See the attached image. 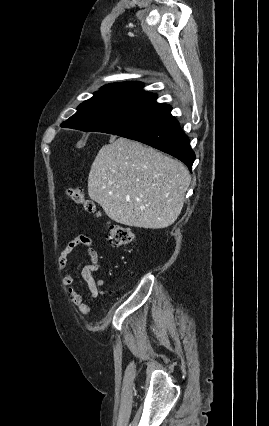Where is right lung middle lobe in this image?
I'll list each match as a JSON object with an SVG mask.
<instances>
[{
	"label": "right lung middle lobe",
	"instance_id": "1",
	"mask_svg": "<svg viewBox=\"0 0 269 426\" xmlns=\"http://www.w3.org/2000/svg\"><path fill=\"white\" fill-rule=\"evenodd\" d=\"M157 95L148 92L95 94L62 123L86 132L119 134L140 123L156 106Z\"/></svg>",
	"mask_w": 269,
	"mask_h": 426
}]
</instances>
